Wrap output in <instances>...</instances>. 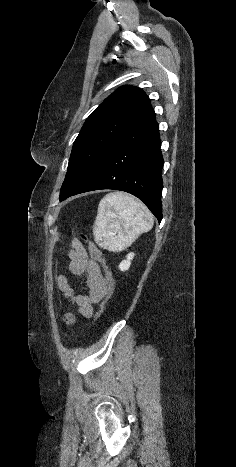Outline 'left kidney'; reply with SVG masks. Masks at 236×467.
<instances>
[{
    "label": "left kidney",
    "instance_id": "1",
    "mask_svg": "<svg viewBox=\"0 0 236 467\" xmlns=\"http://www.w3.org/2000/svg\"><path fill=\"white\" fill-rule=\"evenodd\" d=\"M134 253L131 252L129 253L127 256H126V259L123 260L120 264H119V269L121 271H126L130 268V265H131V260L133 259L134 257Z\"/></svg>",
    "mask_w": 236,
    "mask_h": 467
}]
</instances>
